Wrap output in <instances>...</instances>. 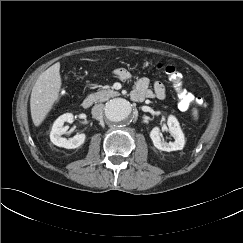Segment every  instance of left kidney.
<instances>
[{"instance_id": "left-kidney-1", "label": "left kidney", "mask_w": 243, "mask_h": 243, "mask_svg": "<svg viewBox=\"0 0 243 243\" xmlns=\"http://www.w3.org/2000/svg\"><path fill=\"white\" fill-rule=\"evenodd\" d=\"M168 130L175 138L174 142H165L162 140V133L159 127H154L150 132V138L153 141L154 146L162 151H176L181 150L185 144L184 134L179 126V122L176 117L170 115L167 120Z\"/></svg>"}]
</instances>
